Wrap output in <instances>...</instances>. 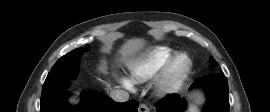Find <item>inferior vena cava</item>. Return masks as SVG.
I'll list each match as a JSON object with an SVG mask.
<instances>
[{
    "label": "inferior vena cava",
    "mask_w": 270,
    "mask_h": 112,
    "mask_svg": "<svg viewBox=\"0 0 270 112\" xmlns=\"http://www.w3.org/2000/svg\"><path fill=\"white\" fill-rule=\"evenodd\" d=\"M110 97L116 102H126L129 99V94L124 90H112L110 92Z\"/></svg>",
    "instance_id": "1"
}]
</instances>
